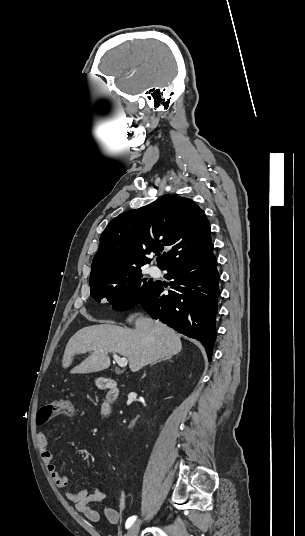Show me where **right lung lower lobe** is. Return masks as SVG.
I'll list each match as a JSON object with an SVG mask.
<instances>
[{"instance_id":"obj_1","label":"right lung lower lobe","mask_w":305,"mask_h":536,"mask_svg":"<svg viewBox=\"0 0 305 536\" xmlns=\"http://www.w3.org/2000/svg\"><path fill=\"white\" fill-rule=\"evenodd\" d=\"M163 270L174 279L175 291L162 294L163 286L156 283L140 301L144 310L176 331L200 341L211 360L216 339L215 318L218 311L220 275L213 244L205 250L178 260Z\"/></svg>"}]
</instances>
